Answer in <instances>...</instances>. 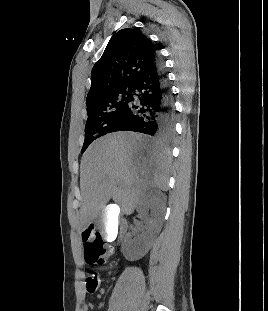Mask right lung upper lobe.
Listing matches in <instances>:
<instances>
[{
  "mask_svg": "<svg viewBox=\"0 0 268 311\" xmlns=\"http://www.w3.org/2000/svg\"><path fill=\"white\" fill-rule=\"evenodd\" d=\"M157 48L137 29H122L109 40L91 72L89 107L109 94L131 87L155 63Z\"/></svg>",
  "mask_w": 268,
  "mask_h": 311,
  "instance_id": "right-lung-upper-lobe-1",
  "label": "right lung upper lobe"
}]
</instances>
